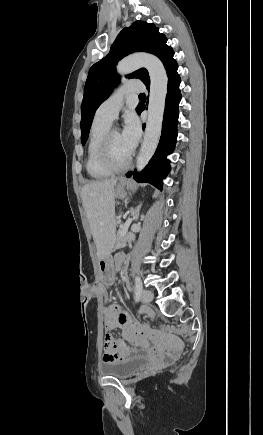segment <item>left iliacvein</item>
Here are the masks:
<instances>
[{"label":"left iliac vein","mask_w":263,"mask_h":435,"mask_svg":"<svg viewBox=\"0 0 263 435\" xmlns=\"http://www.w3.org/2000/svg\"><path fill=\"white\" fill-rule=\"evenodd\" d=\"M153 297H154V295H153V293L150 290L144 289L141 292L140 299H141V301H143L145 303H149V302H151L153 300Z\"/></svg>","instance_id":"1"}]
</instances>
